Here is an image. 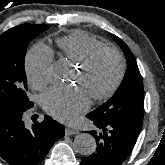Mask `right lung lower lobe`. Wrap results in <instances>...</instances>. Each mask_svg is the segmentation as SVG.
Here are the masks:
<instances>
[{
  "label": "right lung lower lobe",
  "instance_id": "right-lung-lower-lobe-1",
  "mask_svg": "<svg viewBox=\"0 0 165 165\" xmlns=\"http://www.w3.org/2000/svg\"><path fill=\"white\" fill-rule=\"evenodd\" d=\"M25 111L0 109V157L10 165H38L54 142L64 136V126L48 115L27 129Z\"/></svg>",
  "mask_w": 165,
  "mask_h": 165
}]
</instances>
